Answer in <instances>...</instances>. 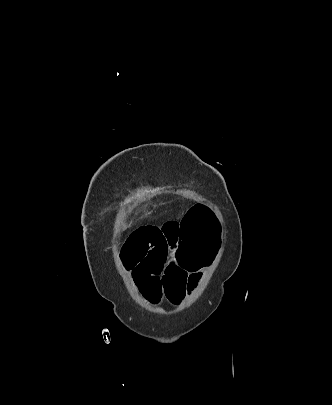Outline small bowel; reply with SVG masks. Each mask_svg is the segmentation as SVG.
I'll return each mask as SVG.
<instances>
[{
    "instance_id": "small-bowel-1",
    "label": "small bowel",
    "mask_w": 332,
    "mask_h": 405,
    "mask_svg": "<svg viewBox=\"0 0 332 405\" xmlns=\"http://www.w3.org/2000/svg\"><path fill=\"white\" fill-rule=\"evenodd\" d=\"M178 240V221H166L138 227L122 245L119 259L136 292H143V302L160 305L166 298L178 305L201 279L202 268L189 275L188 268L176 261Z\"/></svg>"
}]
</instances>
